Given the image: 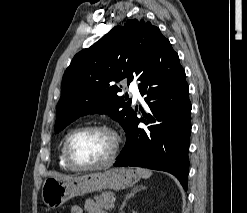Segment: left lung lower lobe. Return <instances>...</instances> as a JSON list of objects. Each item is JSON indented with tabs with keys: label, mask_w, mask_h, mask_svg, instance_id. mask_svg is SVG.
I'll return each mask as SVG.
<instances>
[{
	"label": "left lung lower lobe",
	"mask_w": 247,
	"mask_h": 213,
	"mask_svg": "<svg viewBox=\"0 0 247 213\" xmlns=\"http://www.w3.org/2000/svg\"><path fill=\"white\" fill-rule=\"evenodd\" d=\"M140 81V94L145 96L153 115L163 122L149 126L155 122L154 118L141 107L143 117L137 118L136 108L124 129L127 142L114 166L166 171L176 176L187 190L191 103L185 71L177 53L154 64ZM140 122L146 127L140 128Z\"/></svg>",
	"instance_id": "obj_1"
}]
</instances>
